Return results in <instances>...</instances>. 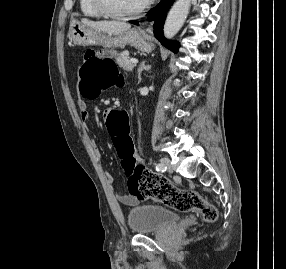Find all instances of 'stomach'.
<instances>
[{
    "label": "stomach",
    "mask_w": 286,
    "mask_h": 269,
    "mask_svg": "<svg viewBox=\"0 0 286 269\" xmlns=\"http://www.w3.org/2000/svg\"><path fill=\"white\" fill-rule=\"evenodd\" d=\"M68 37L71 42L79 46L100 45L107 49H114L131 45L144 52H149L154 47L140 29H129L120 35L113 36L87 27L76 20L70 22Z\"/></svg>",
    "instance_id": "0dacf381"
}]
</instances>
